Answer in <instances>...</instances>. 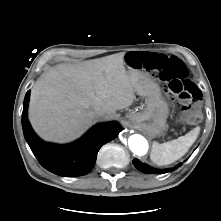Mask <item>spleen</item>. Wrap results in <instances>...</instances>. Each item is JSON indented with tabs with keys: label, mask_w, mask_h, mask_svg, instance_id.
<instances>
[{
	"label": "spleen",
	"mask_w": 221,
	"mask_h": 221,
	"mask_svg": "<svg viewBox=\"0 0 221 221\" xmlns=\"http://www.w3.org/2000/svg\"><path fill=\"white\" fill-rule=\"evenodd\" d=\"M200 133V128L196 127L184 136L159 144L153 142L150 159L157 165H169L183 157Z\"/></svg>",
	"instance_id": "1"
}]
</instances>
